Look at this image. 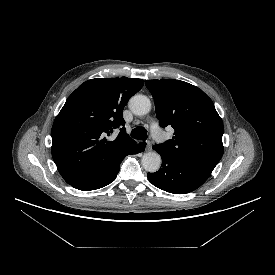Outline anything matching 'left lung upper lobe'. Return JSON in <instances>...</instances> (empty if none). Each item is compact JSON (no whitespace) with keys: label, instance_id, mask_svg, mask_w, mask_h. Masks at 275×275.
<instances>
[{"label":"left lung upper lobe","instance_id":"obj_1","mask_svg":"<svg viewBox=\"0 0 275 275\" xmlns=\"http://www.w3.org/2000/svg\"><path fill=\"white\" fill-rule=\"evenodd\" d=\"M161 127L172 139L154 147L210 176L222 158L223 122L212 100L198 87L174 79L145 80Z\"/></svg>","mask_w":275,"mask_h":275}]
</instances>
